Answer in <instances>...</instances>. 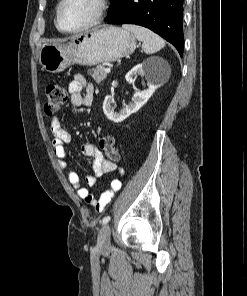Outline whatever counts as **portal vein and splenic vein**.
<instances>
[{
	"instance_id": "1",
	"label": "portal vein and splenic vein",
	"mask_w": 247,
	"mask_h": 296,
	"mask_svg": "<svg viewBox=\"0 0 247 296\" xmlns=\"http://www.w3.org/2000/svg\"><path fill=\"white\" fill-rule=\"evenodd\" d=\"M104 71H105L106 73H110L111 69H110L109 67H106V68L104 69Z\"/></svg>"
}]
</instances>
